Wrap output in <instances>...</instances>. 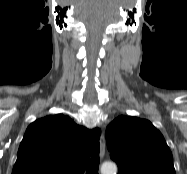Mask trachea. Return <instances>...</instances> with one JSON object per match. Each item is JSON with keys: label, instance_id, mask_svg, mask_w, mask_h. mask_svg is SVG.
I'll return each instance as SVG.
<instances>
[{"label": "trachea", "instance_id": "obj_1", "mask_svg": "<svg viewBox=\"0 0 187 174\" xmlns=\"http://www.w3.org/2000/svg\"><path fill=\"white\" fill-rule=\"evenodd\" d=\"M99 159L92 158L88 164L86 174H98Z\"/></svg>", "mask_w": 187, "mask_h": 174}]
</instances>
